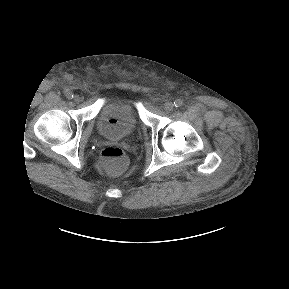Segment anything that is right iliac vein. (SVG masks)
<instances>
[{
	"label": "right iliac vein",
	"mask_w": 289,
	"mask_h": 289,
	"mask_svg": "<svg viewBox=\"0 0 289 289\" xmlns=\"http://www.w3.org/2000/svg\"><path fill=\"white\" fill-rule=\"evenodd\" d=\"M74 101L77 102V103L80 102L81 101V97L79 95H75Z\"/></svg>",
	"instance_id": "1"
}]
</instances>
